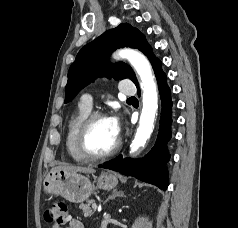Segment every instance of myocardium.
Wrapping results in <instances>:
<instances>
[{
  "instance_id": "1",
  "label": "myocardium",
  "mask_w": 238,
  "mask_h": 228,
  "mask_svg": "<svg viewBox=\"0 0 238 228\" xmlns=\"http://www.w3.org/2000/svg\"><path fill=\"white\" fill-rule=\"evenodd\" d=\"M101 118H107V115L102 111H92L86 116L79 127L76 145L79 153L87 160H102L109 158L115 155L121 147V140L118 138L116 144L105 153L96 154L89 150L87 140L90 130L94 122Z\"/></svg>"
}]
</instances>
